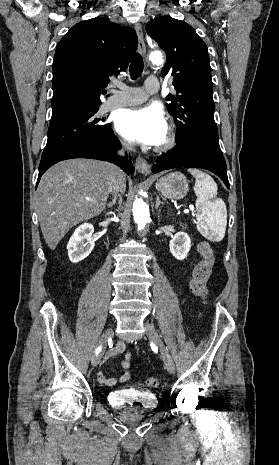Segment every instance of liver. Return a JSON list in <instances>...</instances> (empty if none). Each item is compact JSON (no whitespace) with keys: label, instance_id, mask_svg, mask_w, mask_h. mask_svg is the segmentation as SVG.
I'll use <instances>...</instances> for the list:
<instances>
[{"label":"liver","instance_id":"liver-1","mask_svg":"<svg viewBox=\"0 0 279 465\" xmlns=\"http://www.w3.org/2000/svg\"><path fill=\"white\" fill-rule=\"evenodd\" d=\"M111 164L90 159L61 161L42 176L36 208L43 237L54 250L70 228L103 212L109 196ZM120 190L126 178L119 175ZM91 198L87 201L86 198Z\"/></svg>","mask_w":279,"mask_h":465}]
</instances>
